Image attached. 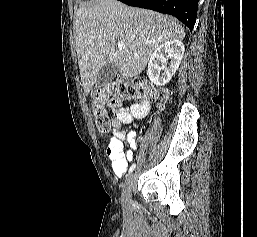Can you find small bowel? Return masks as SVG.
<instances>
[{"label":"small bowel","instance_id":"1","mask_svg":"<svg viewBox=\"0 0 257 237\" xmlns=\"http://www.w3.org/2000/svg\"><path fill=\"white\" fill-rule=\"evenodd\" d=\"M148 112L149 103L146 101L134 103L130 107L121 104L114 107L112 121L114 134L106 148V154L117 177L124 175L133 159V152L138 148V139L134 131H130L126 136L129 147L124 146L122 126L131 124L135 119L144 118Z\"/></svg>","mask_w":257,"mask_h":237}]
</instances>
